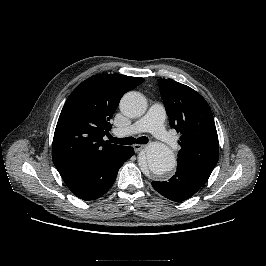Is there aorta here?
Instances as JSON below:
<instances>
[{"instance_id":"762f6f07","label":"aorta","mask_w":266,"mask_h":266,"mask_svg":"<svg viewBox=\"0 0 266 266\" xmlns=\"http://www.w3.org/2000/svg\"><path fill=\"white\" fill-rule=\"evenodd\" d=\"M121 112L130 118L142 116L146 111V100L138 92L126 93L120 101ZM141 169H149L154 175L161 176L174 169L176 159L172 150L159 142L149 144L139 157Z\"/></svg>"}]
</instances>
